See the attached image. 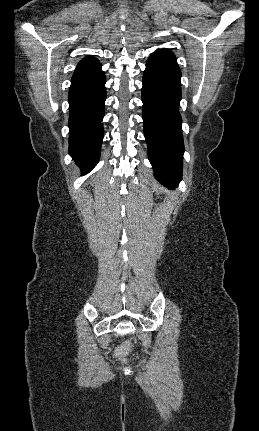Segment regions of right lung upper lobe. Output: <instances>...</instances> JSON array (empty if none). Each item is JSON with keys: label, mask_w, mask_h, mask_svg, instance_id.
Returning <instances> with one entry per match:
<instances>
[{"label": "right lung upper lobe", "mask_w": 259, "mask_h": 431, "mask_svg": "<svg viewBox=\"0 0 259 431\" xmlns=\"http://www.w3.org/2000/svg\"><path fill=\"white\" fill-rule=\"evenodd\" d=\"M98 63H99V61L95 57H93V56H87V57L83 58L78 63L76 69L84 68V67H88V66H92V65H95V64H98Z\"/></svg>", "instance_id": "right-lung-upper-lobe-1"}]
</instances>
